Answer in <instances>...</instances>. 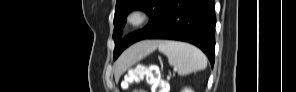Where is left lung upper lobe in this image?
Returning a JSON list of instances; mask_svg holds the SVG:
<instances>
[{"label":"left lung upper lobe","mask_w":296,"mask_h":92,"mask_svg":"<svg viewBox=\"0 0 296 92\" xmlns=\"http://www.w3.org/2000/svg\"><path fill=\"white\" fill-rule=\"evenodd\" d=\"M170 0H117L114 16L115 41L114 60L131 44L144 39L147 35L159 28L165 17V9ZM134 9H142L150 15L148 25L120 40L121 29L126 22V16Z\"/></svg>","instance_id":"1"}]
</instances>
